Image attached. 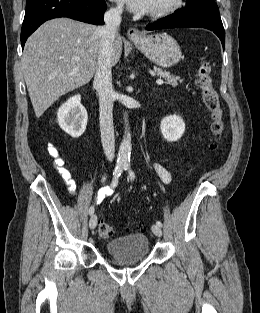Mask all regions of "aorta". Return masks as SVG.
<instances>
[{
    "label": "aorta",
    "instance_id": "obj_1",
    "mask_svg": "<svg viewBox=\"0 0 260 313\" xmlns=\"http://www.w3.org/2000/svg\"><path fill=\"white\" fill-rule=\"evenodd\" d=\"M131 151H132L131 134L130 132H126L119 147L117 157L118 163L127 165L130 162Z\"/></svg>",
    "mask_w": 260,
    "mask_h": 313
}]
</instances>
